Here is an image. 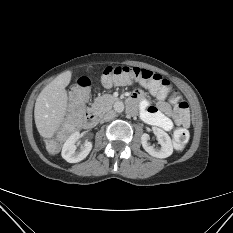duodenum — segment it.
I'll list each match as a JSON object with an SVG mask.
<instances>
[{"instance_id": "1", "label": "duodenum", "mask_w": 233, "mask_h": 233, "mask_svg": "<svg viewBox=\"0 0 233 233\" xmlns=\"http://www.w3.org/2000/svg\"><path fill=\"white\" fill-rule=\"evenodd\" d=\"M97 120L98 116L96 112L89 111L85 116L84 124L87 128H92L97 123Z\"/></svg>"}]
</instances>
